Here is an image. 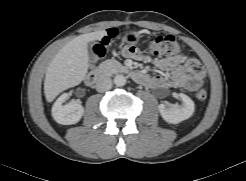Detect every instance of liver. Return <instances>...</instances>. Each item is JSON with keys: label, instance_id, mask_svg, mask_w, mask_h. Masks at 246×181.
I'll list each match as a JSON object with an SVG mask.
<instances>
[{"label": "liver", "instance_id": "1", "mask_svg": "<svg viewBox=\"0 0 246 181\" xmlns=\"http://www.w3.org/2000/svg\"><path fill=\"white\" fill-rule=\"evenodd\" d=\"M105 35V30L79 35L58 51L47 67L44 80V94L48 102L84 80L89 67L88 42L100 40Z\"/></svg>", "mask_w": 246, "mask_h": 181}]
</instances>
